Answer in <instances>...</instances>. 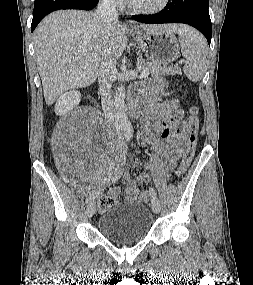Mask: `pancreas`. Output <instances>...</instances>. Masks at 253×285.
I'll use <instances>...</instances> for the list:
<instances>
[{
	"label": "pancreas",
	"instance_id": "obj_1",
	"mask_svg": "<svg viewBox=\"0 0 253 285\" xmlns=\"http://www.w3.org/2000/svg\"><path fill=\"white\" fill-rule=\"evenodd\" d=\"M142 71L149 70L151 75H181V69L176 66L161 65L158 63H152L144 61L142 64Z\"/></svg>",
	"mask_w": 253,
	"mask_h": 285
}]
</instances>
